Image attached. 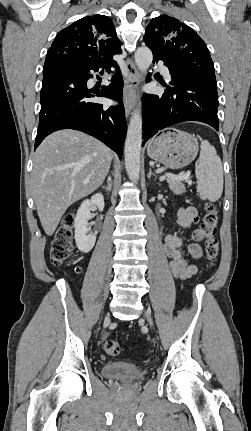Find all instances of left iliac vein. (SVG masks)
<instances>
[{
	"label": "left iliac vein",
	"instance_id": "obj_1",
	"mask_svg": "<svg viewBox=\"0 0 251 431\" xmlns=\"http://www.w3.org/2000/svg\"><path fill=\"white\" fill-rule=\"evenodd\" d=\"M144 315H145V318L147 319L149 325L152 327L153 326V322H152V318H151L150 313L148 311H146Z\"/></svg>",
	"mask_w": 251,
	"mask_h": 431
}]
</instances>
